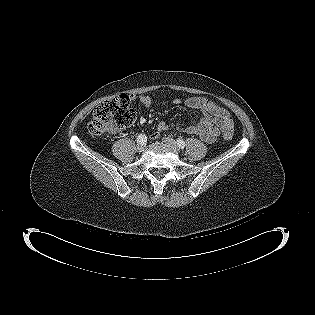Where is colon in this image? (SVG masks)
I'll list each match as a JSON object with an SVG mask.
<instances>
[{
	"label": "colon",
	"mask_w": 315,
	"mask_h": 315,
	"mask_svg": "<svg viewBox=\"0 0 315 315\" xmlns=\"http://www.w3.org/2000/svg\"><path fill=\"white\" fill-rule=\"evenodd\" d=\"M135 118L129 96H112L94 110L88 131L92 136H98L108 131L124 129L130 126ZM223 135L227 140L232 137L229 131H224Z\"/></svg>",
	"instance_id": "obj_1"
}]
</instances>
